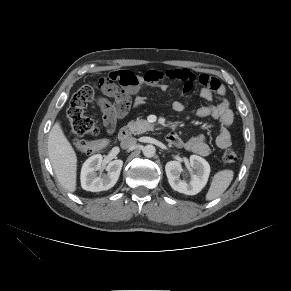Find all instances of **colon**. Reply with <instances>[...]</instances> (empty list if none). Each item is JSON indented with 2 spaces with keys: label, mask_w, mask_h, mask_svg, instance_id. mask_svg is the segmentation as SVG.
Returning <instances> with one entry per match:
<instances>
[{
  "label": "colon",
  "mask_w": 291,
  "mask_h": 291,
  "mask_svg": "<svg viewBox=\"0 0 291 291\" xmlns=\"http://www.w3.org/2000/svg\"><path fill=\"white\" fill-rule=\"evenodd\" d=\"M111 86L108 78L99 79L94 85L86 84L81 86L71 98L67 110V116L70 121L73 132L80 138L73 141L74 148L85 154H91L104 149L107 145V139L103 137L94 140L82 139L85 136L97 137L100 134L99 127L92 117L86 114L87 106L93 101H97L101 107L105 99L97 98L96 92L105 93ZM237 160V154L226 149L222 153V161L225 163H234Z\"/></svg>",
  "instance_id": "1"
}]
</instances>
